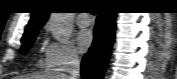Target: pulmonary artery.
Instances as JSON below:
<instances>
[{"label":"pulmonary artery","instance_id":"1","mask_svg":"<svg viewBox=\"0 0 177 79\" xmlns=\"http://www.w3.org/2000/svg\"><path fill=\"white\" fill-rule=\"evenodd\" d=\"M76 22L80 26H88L90 24V19L87 14H79Z\"/></svg>","mask_w":177,"mask_h":79}]
</instances>
